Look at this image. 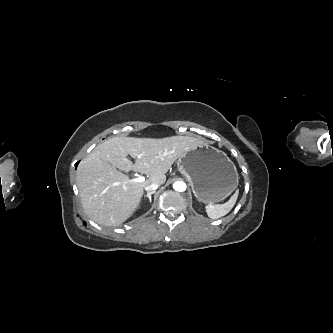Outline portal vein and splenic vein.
<instances>
[{
  "instance_id": "obj_1",
  "label": "portal vein and splenic vein",
  "mask_w": 333,
  "mask_h": 333,
  "mask_svg": "<svg viewBox=\"0 0 333 333\" xmlns=\"http://www.w3.org/2000/svg\"><path fill=\"white\" fill-rule=\"evenodd\" d=\"M145 181V177L142 175H139L137 178L134 179H129L128 181L124 182V185L127 183H132V182H143Z\"/></svg>"
}]
</instances>
